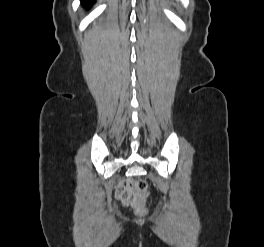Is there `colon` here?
<instances>
[{"label":"colon","mask_w":264,"mask_h":247,"mask_svg":"<svg viewBox=\"0 0 264 247\" xmlns=\"http://www.w3.org/2000/svg\"><path fill=\"white\" fill-rule=\"evenodd\" d=\"M132 193L121 195V200L131 205L137 214H144L147 211L146 201L148 198V184L145 180H137L131 183Z\"/></svg>","instance_id":"obj_1"}]
</instances>
